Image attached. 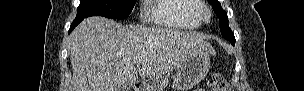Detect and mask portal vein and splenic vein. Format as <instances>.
<instances>
[{"mask_svg": "<svg viewBox=\"0 0 304 91\" xmlns=\"http://www.w3.org/2000/svg\"><path fill=\"white\" fill-rule=\"evenodd\" d=\"M141 61V57H135L134 58V63H138V62H140Z\"/></svg>", "mask_w": 304, "mask_h": 91, "instance_id": "portal-vein-and-splenic-vein-1", "label": "portal vein and splenic vein"}]
</instances>
